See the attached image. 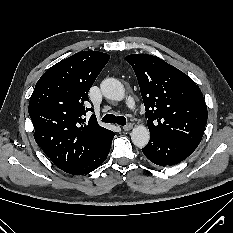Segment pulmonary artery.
Masks as SVG:
<instances>
[{
    "label": "pulmonary artery",
    "instance_id": "pulmonary-artery-1",
    "mask_svg": "<svg viewBox=\"0 0 233 233\" xmlns=\"http://www.w3.org/2000/svg\"><path fill=\"white\" fill-rule=\"evenodd\" d=\"M129 103H130L131 106L134 105V101L132 99L129 100Z\"/></svg>",
    "mask_w": 233,
    "mask_h": 233
}]
</instances>
